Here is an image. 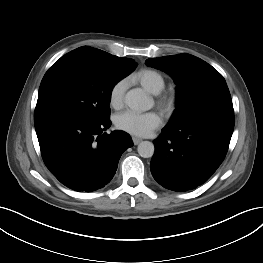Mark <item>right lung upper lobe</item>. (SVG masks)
<instances>
[{"label":"right lung upper lobe","instance_id":"right-lung-upper-lobe-1","mask_svg":"<svg viewBox=\"0 0 263 263\" xmlns=\"http://www.w3.org/2000/svg\"><path fill=\"white\" fill-rule=\"evenodd\" d=\"M81 48H85V49H88L96 54H99V55H102L104 57H107V58H110V59H115V60H126V59H130V58H120V57H117V56H114V55H111L107 52H104L102 50H99V49H95V48H91V47H88V46H83ZM132 60V59H130Z\"/></svg>","mask_w":263,"mask_h":263}]
</instances>
